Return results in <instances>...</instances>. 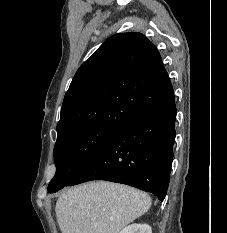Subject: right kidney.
<instances>
[{
    "label": "right kidney",
    "mask_w": 227,
    "mask_h": 233,
    "mask_svg": "<svg viewBox=\"0 0 227 233\" xmlns=\"http://www.w3.org/2000/svg\"><path fill=\"white\" fill-rule=\"evenodd\" d=\"M120 233H152V228L147 224H131L123 228Z\"/></svg>",
    "instance_id": "ca27d5eb"
}]
</instances>
